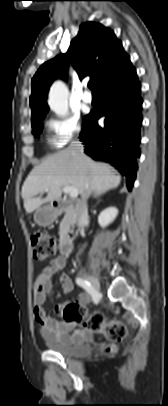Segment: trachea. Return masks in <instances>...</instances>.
<instances>
[{
  "mask_svg": "<svg viewBox=\"0 0 168 406\" xmlns=\"http://www.w3.org/2000/svg\"><path fill=\"white\" fill-rule=\"evenodd\" d=\"M88 87L92 90L93 89V85L91 82L88 83Z\"/></svg>",
  "mask_w": 168,
  "mask_h": 406,
  "instance_id": "obj_1",
  "label": "trachea"
}]
</instances>
